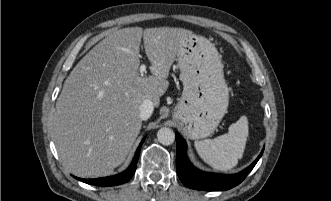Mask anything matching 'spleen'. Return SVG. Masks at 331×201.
I'll return each mask as SVG.
<instances>
[{"label":"spleen","mask_w":331,"mask_h":201,"mask_svg":"<svg viewBox=\"0 0 331 201\" xmlns=\"http://www.w3.org/2000/svg\"><path fill=\"white\" fill-rule=\"evenodd\" d=\"M248 129V119L242 116L230 125L228 133L214 139L195 141V149L201 159L212 168L220 171L231 170L243 156Z\"/></svg>","instance_id":"spleen-1"}]
</instances>
